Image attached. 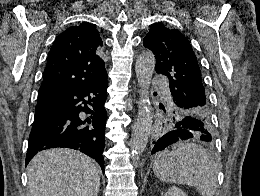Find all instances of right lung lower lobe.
Returning <instances> with one entry per match:
<instances>
[{
	"label": "right lung lower lobe",
	"instance_id": "98d812e1",
	"mask_svg": "<svg viewBox=\"0 0 260 196\" xmlns=\"http://www.w3.org/2000/svg\"><path fill=\"white\" fill-rule=\"evenodd\" d=\"M108 81L105 78L37 103L35 114L49 117L34 122L28 140L26 165L37 152L55 147L79 150L95 159L104 171L103 151ZM87 116H84V114Z\"/></svg>",
	"mask_w": 260,
	"mask_h": 196
}]
</instances>
